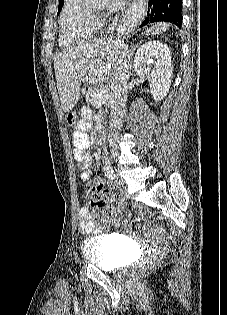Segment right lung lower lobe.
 <instances>
[{"instance_id": "98d812e1", "label": "right lung lower lobe", "mask_w": 227, "mask_h": 315, "mask_svg": "<svg viewBox=\"0 0 227 315\" xmlns=\"http://www.w3.org/2000/svg\"><path fill=\"white\" fill-rule=\"evenodd\" d=\"M182 0H149L147 17L141 27L149 22L168 21L181 27Z\"/></svg>"}]
</instances>
